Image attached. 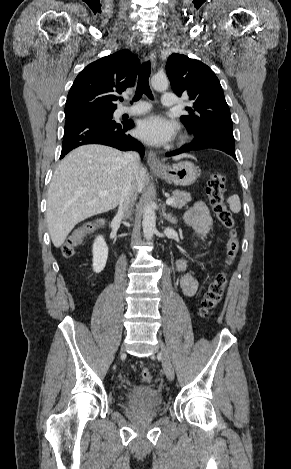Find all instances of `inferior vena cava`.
Here are the masks:
<instances>
[{"mask_svg": "<svg viewBox=\"0 0 291 469\" xmlns=\"http://www.w3.org/2000/svg\"><path fill=\"white\" fill-rule=\"evenodd\" d=\"M123 164L126 177L122 186L117 215L121 218H128L132 213L137 199V190L134 181L140 168V157L138 153L126 152L123 156Z\"/></svg>", "mask_w": 291, "mask_h": 469, "instance_id": "602c4592", "label": "inferior vena cava"}]
</instances>
